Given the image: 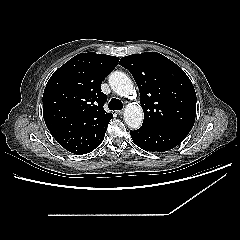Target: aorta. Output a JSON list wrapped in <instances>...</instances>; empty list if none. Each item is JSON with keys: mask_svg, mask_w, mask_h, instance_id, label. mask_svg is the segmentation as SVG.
I'll use <instances>...</instances> for the list:
<instances>
[{"mask_svg": "<svg viewBox=\"0 0 240 240\" xmlns=\"http://www.w3.org/2000/svg\"><path fill=\"white\" fill-rule=\"evenodd\" d=\"M112 90L122 97H129L134 92L132 80L123 72L115 71L109 76ZM143 110L140 105L129 104L125 108L124 121L132 129H138L143 122Z\"/></svg>", "mask_w": 240, "mask_h": 240, "instance_id": "1", "label": "aorta"}]
</instances>
